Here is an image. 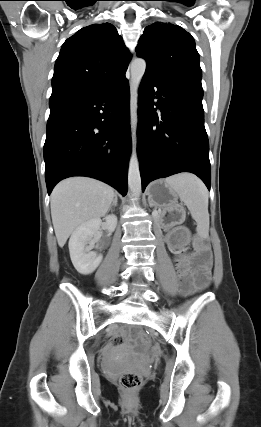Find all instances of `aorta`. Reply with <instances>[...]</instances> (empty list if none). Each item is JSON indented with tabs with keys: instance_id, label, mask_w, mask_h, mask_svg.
<instances>
[{
	"instance_id": "1",
	"label": "aorta",
	"mask_w": 261,
	"mask_h": 427,
	"mask_svg": "<svg viewBox=\"0 0 261 427\" xmlns=\"http://www.w3.org/2000/svg\"><path fill=\"white\" fill-rule=\"evenodd\" d=\"M146 70V61L142 58H136L130 66V123L132 130V153L128 169V186L134 196L141 193V176L139 169V159L137 155V125H138V90Z\"/></svg>"
}]
</instances>
